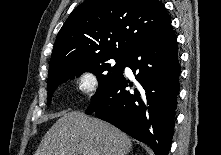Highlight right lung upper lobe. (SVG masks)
Here are the masks:
<instances>
[{
    "label": "right lung upper lobe",
    "instance_id": "1",
    "mask_svg": "<svg viewBox=\"0 0 221 155\" xmlns=\"http://www.w3.org/2000/svg\"><path fill=\"white\" fill-rule=\"evenodd\" d=\"M170 24L159 0H85L57 35L49 74L80 61L127 57L142 38Z\"/></svg>",
    "mask_w": 221,
    "mask_h": 155
}]
</instances>
